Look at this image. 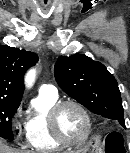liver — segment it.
I'll use <instances>...</instances> for the list:
<instances>
[{
	"mask_svg": "<svg viewBox=\"0 0 130 153\" xmlns=\"http://www.w3.org/2000/svg\"><path fill=\"white\" fill-rule=\"evenodd\" d=\"M0 153H30L22 150L12 149L5 145L3 141L0 139Z\"/></svg>",
	"mask_w": 130,
	"mask_h": 153,
	"instance_id": "1",
	"label": "liver"
}]
</instances>
